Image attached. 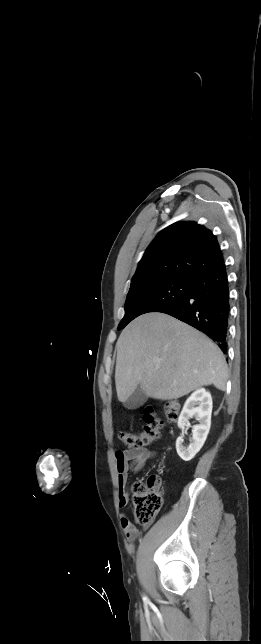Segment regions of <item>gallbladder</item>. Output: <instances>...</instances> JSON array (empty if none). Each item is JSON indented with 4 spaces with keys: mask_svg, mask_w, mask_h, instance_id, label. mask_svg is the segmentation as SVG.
<instances>
[{
    "mask_svg": "<svg viewBox=\"0 0 261 644\" xmlns=\"http://www.w3.org/2000/svg\"><path fill=\"white\" fill-rule=\"evenodd\" d=\"M147 400V396L138 386L132 395L124 402V407L128 410H134L142 406Z\"/></svg>",
    "mask_w": 261,
    "mask_h": 644,
    "instance_id": "gallbladder-1",
    "label": "gallbladder"
}]
</instances>
